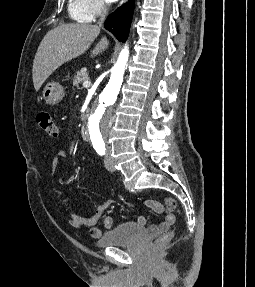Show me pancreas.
<instances>
[{"instance_id": "obj_1", "label": "pancreas", "mask_w": 255, "mask_h": 287, "mask_svg": "<svg viewBox=\"0 0 255 287\" xmlns=\"http://www.w3.org/2000/svg\"><path fill=\"white\" fill-rule=\"evenodd\" d=\"M89 80L90 78L86 68H82V70L76 72V76L73 78V86L79 88V84H82V82H89Z\"/></svg>"}]
</instances>
